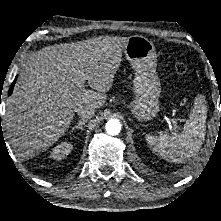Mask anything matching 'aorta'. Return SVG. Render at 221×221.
I'll return each instance as SVG.
<instances>
[{
  "label": "aorta",
  "instance_id": "aorta-1",
  "mask_svg": "<svg viewBox=\"0 0 221 221\" xmlns=\"http://www.w3.org/2000/svg\"><path fill=\"white\" fill-rule=\"evenodd\" d=\"M121 122L118 119H110L107 121L105 130L109 135H118L121 131Z\"/></svg>",
  "mask_w": 221,
  "mask_h": 221
}]
</instances>
